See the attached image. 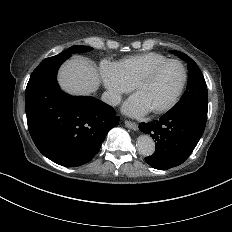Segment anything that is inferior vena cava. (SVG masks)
<instances>
[{
	"instance_id": "obj_1",
	"label": "inferior vena cava",
	"mask_w": 232,
	"mask_h": 232,
	"mask_svg": "<svg viewBox=\"0 0 232 232\" xmlns=\"http://www.w3.org/2000/svg\"><path fill=\"white\" fill-rule=\"evenodd\" d=\"M102 99L105 103H107L109 105H116L121 101L120 96H118L110 91H105L102 94Z\"/></svg>"
}]
</instances>
